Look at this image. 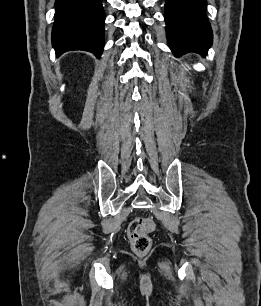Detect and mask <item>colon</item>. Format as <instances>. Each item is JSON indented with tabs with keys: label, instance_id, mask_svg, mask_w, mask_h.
Returning <instances> with one entry per match:
<instances>
[{
	"label": "colon",
	"instance_id": "obj_1",
	"mask_svg": "<svg viewBox=\"0 0 261 306\" xmlns=\"http://www.w3.org/2000/svg\"><path fill=\"white\" fill-rule=\"evenodd\" d=\"M154 229V222L150 218L138 217L129 224L127 235L132 250L137 255L146 254L151 247L149 233Z\"/></svg>",
	"mask_w": 261,
	"mask_h": 306
}]
</instances>
